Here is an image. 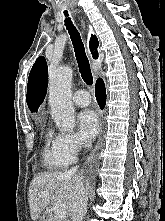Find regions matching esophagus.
<instances>
[{"mask_svg":"<svg viewBox=\"0 0 165 221\" xmlns=\"http://www.w3.org/2000/svg\"><path fill=\"white\" fill-rule=\"evenodd\" d=\"M81 23H82V27H83V29H85V23H84V21L81 20Z\"/></svg>","mask_w":165,"mask_h":221,"instance_id":"esophagus-1","label":"esophagus"}]
</instances>
